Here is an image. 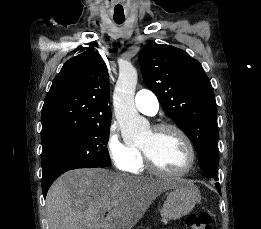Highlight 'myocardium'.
I'll use <instances>...</instances> for the list:
<instances>
[{"instance_id": "1", "label": "myocardium", "mask_w": 261, "mask_h": 229, "mask_svg": "<svg viewBox=\"0 0 261 229\" xmlns=\"http://www.w3.org/2000/svg\"><path fill=\"white\" fill-rule=\"evenodd\" d=\"M152 135L156 136L164 131H174L177 133L183 140L189 154V161L188 164L185 166L184 169L180 171H168L159 166L156 161L153 159L152 155L150 154L149 150L146 149L143 146H139V149L141 151L143 160L145 162V165L147 169L153 173L162 175V176H168V177H178L183 176L187 173H189L192 168L194 167L196 155H195V149L193 146L192 141L188 137V135L183 131L180 127L173 125V124H159L151 128Z\"/></svg>"}]
</instances>
